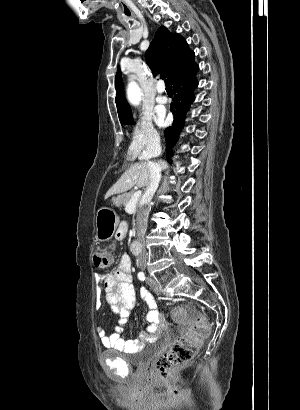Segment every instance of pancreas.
<instances>
[{
	"label": "pancreas",
	"mask_w": 300,
	"mask_h": 410,
	"mask_svg": "<svg viewBox=\"0 0 300 410\" xmlns=\"http://www.w3.org/2000/svg\"><path fill=\"white\" fill-rule=\"evenodd\" d=\"M133 194L134 192L122 194L116 198V201L114 203L118 206L126 205L129 202L130 198L133 196Z\"/></svg>",
	"instance_id": "cf45deb5"
}]
</instances>
